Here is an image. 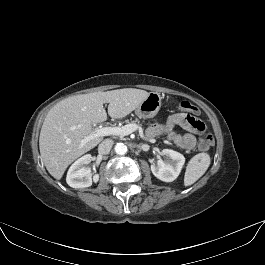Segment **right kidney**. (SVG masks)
Listing matches in <instances>:
<instances>
[{
	"label": "right kidney",
	"mask_w": 265,
	"mask_h": 265,
	"mask_svg": "<svg viewBox=\"0 0 265 265\" xmlns=\"http://www.w3.org/2000/svg\"><path fill=\"white\" fill-rule=\"evenodd\" d=\"M92 161V156L86 154L76 160L68 170L66 182L72 188L90 187L99 180L98 174H91V169L86 167Z\"/></svg>",
	"instance_id": "ca27d5eb"
}]
</instances>
